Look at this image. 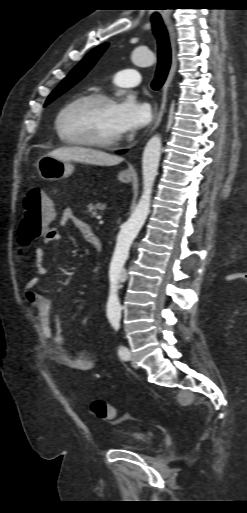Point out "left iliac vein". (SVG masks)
Wrapping results in <instances>:
<instances>
[{"mask_svg":"<svg viewBox=\"0 0 247 513\" xmlns=\"http://www.w3.org/2000/svg\"><path fill=\"white\" fill-rule=\"evenodd\" d=\"M131 364L134 368H138L137 360L135 359L134 355H130Z\"/></svg>","mask_w":247,"mask_h":513,"instance_id":"left-iliac-vein-1","label":"left iliac vein"}]
</instances>
